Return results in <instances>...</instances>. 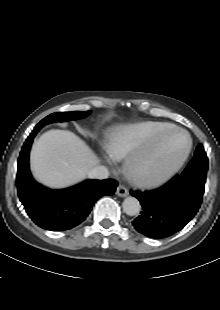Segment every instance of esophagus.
Listing matches in <instances>:
<instances>
[{"mask_svg": "<svg viewBox=\"0 0 220 310\" xmlns=\"http://www.w3.org/2000/svg\"><path fill=\"white\" fill-rule=\"evenodd\" d=\"M129 194L128 189L123 186V185H119L116 189V195H118L119 197H126Z\"/></svg>", "mask_w": 220, "mask_h": 310, "instance_id": "obj_1", "label": "esophagus"}]
</instances>
